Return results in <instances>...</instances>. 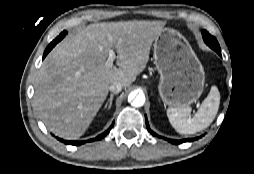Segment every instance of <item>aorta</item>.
<instances>
[{"label": "aorta", "instance_id": "obj_1", "mask_svg": "<svg viewBox=\"0 0 254 174\" xmlns=\"http://www.w3.org/2000/svg\"><path fill=\"white\" fill-rule=\"evenodd\" d=\"M128 101L133 107H141L145 103V95L142 92H131L128 96Z\"/></svg>", "mask_w": 254, "mask_h": 174}]
</instances>
